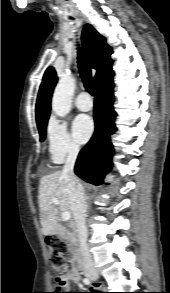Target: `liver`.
Here are the masks:
<instances>
[{
	"label": "liver",
	"mask_w": 170,
	"mask_h": 293,
	"mask_svg": "<svg viewBox=\"0 0 170 293\" xmlns=\"http://www.w3.org/2000/svg\"><path fill=\"white\" fill-rule=\"evenodd\" d=\"M53 198L58 199V208L53 206ZM38 202L42 232L46 236L57 228L58 210L73 214L71 198L61 171L45 175L40 179Z\"/></svg>",
	"instance_id": "1"
}]
</instances>
